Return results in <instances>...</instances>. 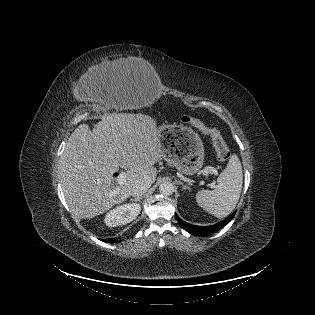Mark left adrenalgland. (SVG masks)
Wrapping results in <instances>:
<instances>
[{
  "label": "left adrenal gland",
  "instance_id": "obj_1",
  "mask_svg": "<svg viewBox=\"0 0 315 315\" xmlns=\"http://www.w3.org/2000/svg\"><path fill=\"white\" fill-rule=\"evenodd\" d=\"M178 183H179L180 185H182V188H183V189H188V190L190 191V188H189L187 185H184L183 182L178 181Z\"/></svg>",
  "mask_w": 315,
  "mask_h": 315
}]
</instances>
